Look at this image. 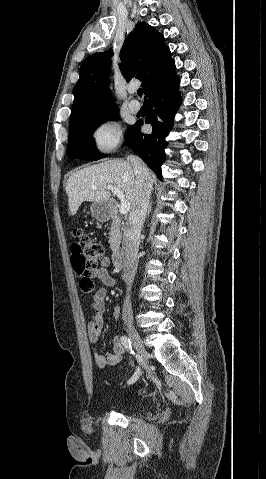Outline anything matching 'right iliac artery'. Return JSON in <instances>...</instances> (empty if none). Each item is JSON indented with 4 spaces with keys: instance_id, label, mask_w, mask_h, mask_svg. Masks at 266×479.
Listing matches in <instances>:
<instances>
[{
    "instance_id": "obj_1",
    "label": "right iliac artery",
    "mask_w": 266,
    "mask_h": 479,
    "mask_svg": "<svg viewBox=\"0 0 266 479\" xmlns=\"http://www.w3.org/2000/svg\"><path fill=\"white\" fill-rule=\"evenodd\" d=\"M121 340V343L123 344L124 348L129 351L130 353H133V350H132V344H131V341L130 339L127 337V336H121L120 338ZM140 369H137L136 372L134 373V375L128 380V384H133L137 381V379L139 378L140 376Z\"/></svg>"
}]
</instances>
